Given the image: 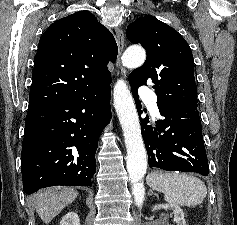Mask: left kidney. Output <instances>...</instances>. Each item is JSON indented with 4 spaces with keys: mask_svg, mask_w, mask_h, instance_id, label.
I'll return each mask as SVG.
<instances>
[{
    "mask_svg": "<svg viewBox=\"0 0 237 225\" xmlns=\"http://www.w3.org/2000/svg\"><path fill=\"white\" fill-rule=\"evenodd\" d=\"M166 209V210H172V213L174 215V222L176 225H186L185 218H184V212L183 210L176 204H158L153 207V211H157L160 209Z\"/></svg>",
    "mask_w": 237,
    "mask_h": 225,
    "instance_id": "5707ae66",
    "label": "left kidney"
}]
</instances>
